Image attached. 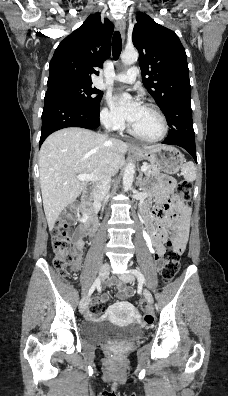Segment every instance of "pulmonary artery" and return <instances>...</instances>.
Returning a JSON list of instances; mask_svg holds the SVG:
<instances>
[{"instance_id":"1","label":"pulmonary artery","mask_w":228,"mask_h":396,"mask_svg":"<svg viewBox=\"0 0 228 396\" xmlns=\"http://www.w3.org/2000/svg\"><path fill=\"white\" fill-rule=\"evenodd\" d=\"M138 69L136 67H131L128 71L118 73L113 76L114 81L118 82H124V83H133L135 82L137 76H138Z\"/></svg>"}]
</instances>
